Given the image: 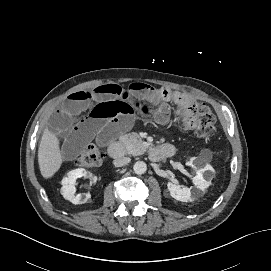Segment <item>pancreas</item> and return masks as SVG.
Masks as SVG:
<instances>
[{
  "label": "pancreas",
  "mask_w": 271,
  "mask_h": 271,
  "mask_svg": "<svg viewBox=\"0 0 271 271\" xmlns=\"http://www.w3.org/2000/svg\"><path fill=\"white\" fill-rule=\"evenodd\" d=\"M120 142L125 146L126 153L129 155H141L147 147L135 132L122 136Z\"/></svg>",
  "instance_id": "obj_1"
}]
</instances>
